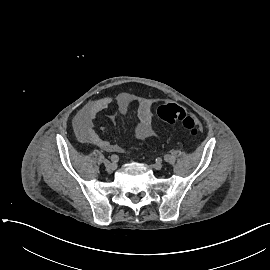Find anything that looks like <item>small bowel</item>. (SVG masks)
Returning a JSON list of instances; mask_svg holds the SVG:
<instances>
[{
    "instance_id": "obj_1",
    "label": "small bowel",
    "mask_w": 270,
    "mask_h": 270,
    "mask_svg": "<svg viewBox=\"0 0 270 270\" xmlns=\"http://www.w3.org/2000/svg\"><path fill=\"white\" fill-rule=\"evenodd\" d=\"M115 101L118 112H127L132 100L126 93L119 94L114 100L110 96H102L86 104L74 118V129L78 139L83 143H92L104 151H116L118 146L100 137L94 129L93 121L102 111L110 107ZM153 100L145 98L138 105V123L133 127V134L139 140H145L155 134L152 113ZM115 114H111L113 119Z\"/></svg>"
}]
</instances>
